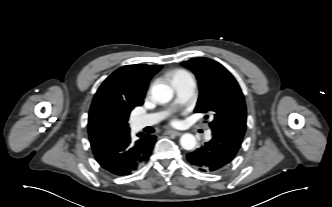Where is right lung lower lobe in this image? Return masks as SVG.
Instances as JSON below:
<instances>
[{
	"label": "right lung lower lobe",
	"mask_w": 332,
	"mask_h": 207,
	"mask_svg": "<svg viewBox=\"0 0 332 207\" xmlns=\"http://www.w3.org/2000/svg\"><path fill=\"white\" fill-rule=\"evenodd\" d=\"M133 141L130 131L120 137L92 147L97 162L108 172L117 175H130L146 162L156 141V136L138 134Z\"/></svg>",
	"instance_id": "right-lung-lower-lobe-1"
}]
</instances>
